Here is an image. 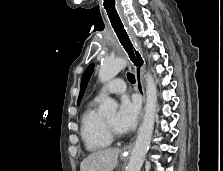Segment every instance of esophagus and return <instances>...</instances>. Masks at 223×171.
Returning a JSON list of instances; mask_svg holds the SVG:
<instances>
[{"label":"esophagus","instance_id":"1","mask_svg":"<svg viewBox=\"0 0 223 171\" xmlns=\"http://www.w3.org/2000/svg\"><path fill=\"white\" fill-rule=\"evenodd\" d=\"M111 29L116 32L117 38L120 40L121 44L124 47V50L129 54L128 59L132 61L133 69L136 75V87L138 93L142 97V105L145 102V90L143 84V68L145 66V59L141 52L139 45L136 43L135 39L132 38V35L129 34L127 30L126 22L123 21L121 13H114L113 9L108 11ZM143 117V107L141 111V119ZM133 143H129L122 149L123 153H129L132 149Z\"/></svg>","mask_w":223,"mask_h":171}]
</instances>
